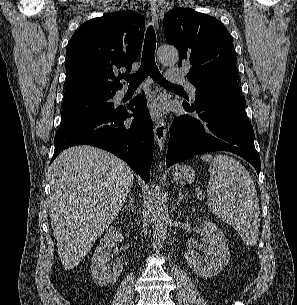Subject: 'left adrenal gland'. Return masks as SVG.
I'll return each mask as SVG.
<instances>
[{
  "label": "left adrenal gland",
  "instance_id": "obj_1",
  "mask_svg": "<svg viewBox=\"0 0 297 305\" xmlns=\"http://www.w3.org/2000/svg\"><path fill=\"white\" fill-rule=\"evenodd\" d=\"M186 196H187V194H182V191L179 190L178 199H177L176 203L179 204L183 200V198Z\"/></svg>",
  "mask_w": 297,
  "mask_h": 305
}]
</instances>
